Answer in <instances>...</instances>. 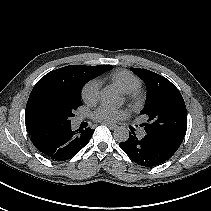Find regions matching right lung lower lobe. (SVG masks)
Segmentation results:
<instances>
[{
    "label": "right lung lower lobe",
    "mask_w": 211,
    "mask_h": 211,
    "mask_svg": "<svg viewBox=\"0 0 211 211\" xmlns=\"http://www.w3.org/2000/svg\"><path fill=\"white\" fill-rule=\"evenodd\" d=\"M94 130H71V124L38 130L31 134L33 145L47 158L65 161L76 155L91 139Z\"/></svg>",
    "instance_id": "98d812e1"
}]
</instances>
